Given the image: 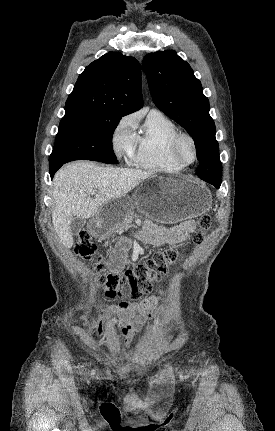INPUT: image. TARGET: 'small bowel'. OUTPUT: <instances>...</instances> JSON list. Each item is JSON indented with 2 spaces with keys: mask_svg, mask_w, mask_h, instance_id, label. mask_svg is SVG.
Here are the masks:
<instances>
[{
  "mask_svg": "<svg viewBox=\"0 0 275 431\" xmlns=\"http://www.w3.org/2000/svg\"><path fill=\"white\" fill-rule=\"evenodd\" d=\"M195 229V222L191 219L170 228L147 221L144 223V231L139 238L143 242L154 246L175 245L185 242ZM128 247L129 241L127 239L117 243L109 257L110 268L119 269L121 267ZM162 309L159 306V297L156 296L146 298L139 303L122 302L111 307V311L119 316L116 329L119 337L123 340L126 350H133L134 335L143 328L147 320L154 317ZM104 315H107V312ZM169 316L167 314L165 319H169ZM154 326L148 325L145 329L148 330Z\"/></svg>",
  "mask_w": 275,
  "mask_h": 431,
  "instance_id": "c3829d8e",
  "label": "small bowel"
}]
</instances>
